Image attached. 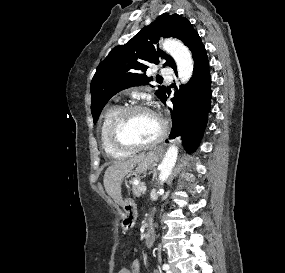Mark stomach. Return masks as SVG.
Wrapping results in <instances>:
<instances>
[{
  "instance_id": "0dacf381",
  "label": "stomach",
  "mask_w": 285,
  "mask_h": 273,
  "mask_svg": "<svg viewBox=\"0 0 285 273\" xmlns=\"http://www.w3.org/2000/svg\"><path fill=\"white\" fill-rule=\"evenodd\" d=\"M159 151L153 150L144 155L143 159L138 163L135 173L142 174L147 171L153 164L159 160ZM123 209L125 211L124 223L126 225L132 222L137 217L136 204L131 198H126L123 201ZM128 222V223H127Z\"/></svg>"
}]
</instances>
